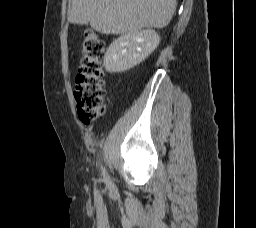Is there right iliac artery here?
<instances>
[{
  "mask_svg": "<svg viewBox=\"0 0 256 228\" xmlns=\"http://www.w3.org/2000/svg\"><path fill=\"white\" fill-rule=\"evenodd\" d=\"M102 171H103L104 180L108 181L109 178H108V175L106 173V170L104 168H102Z\"/></svg>",
  "mask_w": 256,
  "mask_h": 228,
  "instance_id": "82829eb1",
  "label": "right iliac artery"
}]
</instances>
